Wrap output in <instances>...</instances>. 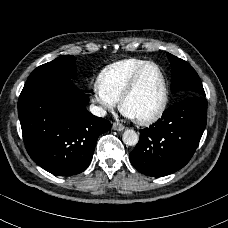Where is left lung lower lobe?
Wrapping results in <instances>:
<instances>
[{"mask_svg":"<svg viewBox=\"0 0 228 228\" xmlns=\"http://www.w3.org/2000/svg\"><path fill=\"white\" fill-rule=\"evenodd\" d=\"M207 122V100L190 96L170 106L130 153L131 164L142 174L162 177L184 167L193 156Z\"/></svg>","mask_w":228,"mask_h":228,"instance_id":"1","label":"left lung lower lobe"}]
</instances>
